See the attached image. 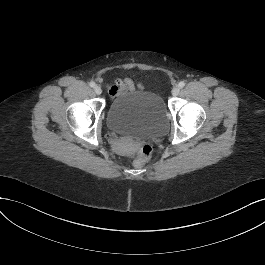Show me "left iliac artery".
Returning a JSON list of instances; mask_svg holds the SVG:
<instances>
[{
    "mask_svg": "<svg viewBox=\"0 0 265 265\" xmlns=\"http://www.w3.org/2000/svg\"><path fill=\"white\" fill-rule=\"evenodd\" d=\"M185 86V82L184 81H180L179 83H178V87L179 88H183Z\"/></svg>",
    "mask_w": 265,
    "mask_h": 265,
    "instance_id": "left-iliac-artery-1",
    "label": "left iliac artery"
}]
</instances>
